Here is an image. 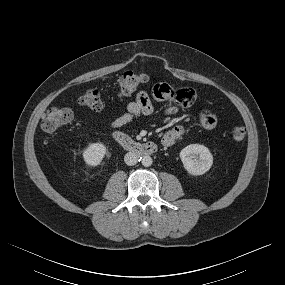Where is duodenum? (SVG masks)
<instances>
[{
  "mask_svg": "<svg viewBox=\"0 0 285 285\" xmlns=\"http://www.w3.org/2000/svg\"><path fill=\"white\" fill-rule=\"evenodd\" d=\"M113 138L125 150L141 155V156L152 155L158 150V146L155 143L136 142L132 140L128 135H126L125 133L121 131H114Z\"/></svg>",
  "mask_w": 285,
  "mask_h": 285,
  "instance_id": "1",
  "label": "duodenum"
}]
</instances>
